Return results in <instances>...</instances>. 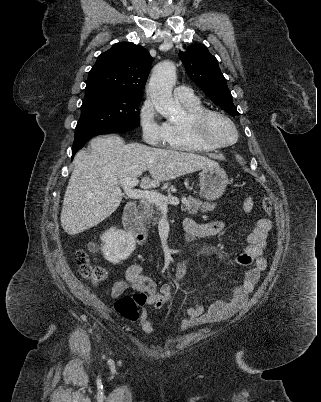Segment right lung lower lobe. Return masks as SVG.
I'll list each match as a JSON object with an SVG mask.
<instances>
[{"mask_svg":"<svg viewBox=\"0 0 321 402\" xmlns=\"http://www.w3.org/2000/svg\"><path fill=\"white\" fill-rule=\"evenodd\" d=\"M131 129L132 128L128 126H108L75 131V138L72 147V159L76 152L81 149L90 138L101 134L123 132Z\"/></svg>","mask_w":321,"mask_h":402,"instance_id":"right-lung-lower-lobe-1","label":"right lung lower lobe"}]
</instances>
